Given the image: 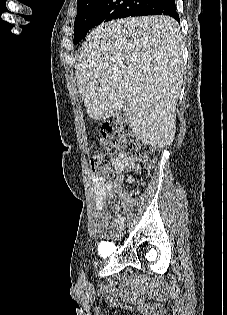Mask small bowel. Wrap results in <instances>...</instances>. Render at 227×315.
<instances>
[{
    "label": "small bowel",
    "instance_id": "c3829d8e",
    "mask_svg": "<svg viewBox=\"0 0 227 315\" xmlns=\"http://www.w3.org/2000/svg\"><path fill=\"white\" fill-rule=\"evenodd\" d=\"M140 170V167L133 162L131 157L120 153L113 161V176L110 179L99 176L92 177L95 195L94 206L97 211V229L99 232L104 231L106 223L113 217L112 213L106 209L107 200L120 193L121 204H123L130 196L127 190L121 189L125 175L127 173H139ZM121 204L115 206L114 212L116 214L120 212Z\"/></svg>",
    "mask_w": 227,
    "mask_h": 315
}]
</instances>
